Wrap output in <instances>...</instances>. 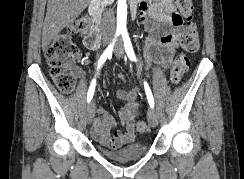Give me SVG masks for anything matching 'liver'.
Segmentation results:
<instances>
[{"label": "liver", "instance_id": "1", "mask_svg": "<svg viewBox=\"0 0 244 179\" xmlns=\"http://www.w3.org/2000/svg\"><path fill=\"white\" fill-rule=\"evenodd\" d=\"M90 0H48L47 14L42 32V50L45 52L51 40L74 22L89 6Z\"/></svg>", "mask_w": 244, "mask_h": 179}]
</instances>
